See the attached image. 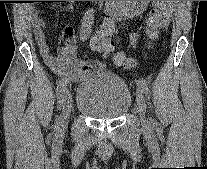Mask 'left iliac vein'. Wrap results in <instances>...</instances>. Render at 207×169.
<instances>
[{
  "instance_id": "4c4485c4",
  "label": "left iliac vein",
  "mask_w": 207,
  "mask_h": 169,
  "mask_svg": "<svg viewBox=\"0 0 207 169\" xmlns=\"http://www.w3.org/2000/svg\"><path fill=\"white\" fill-rule=\"evenodd\" d=\"M137 111L140 115L141 123L144 127L149 126V121L145 116L146 113V105H145V97L141 90L137 91Z\"/></svg>"
}]
</instances>
